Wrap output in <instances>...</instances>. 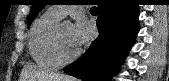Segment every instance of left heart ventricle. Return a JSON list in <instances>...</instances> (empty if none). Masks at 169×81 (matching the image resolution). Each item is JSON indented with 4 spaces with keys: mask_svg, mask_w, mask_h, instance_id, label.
Listing matches in <instances>:
<instances>
[{
    "mask_svg": "<svg viewBox=\"0 0 169 81\" xmlns=\"http://www.w3.org/2000/svg\"><path fill=\"white\" fill-rule=\"evenodd\" d=\"M60 47L64 55H70L77 49L72 42L71 24L68 22H64L60 26Z\"/></svg>",
    "mask_w": 169,
    "mask_h": 81,
    "instance_id": "left-heart-ventricle-1",
    "label": "left heart ventricle"
}]
</instances>
